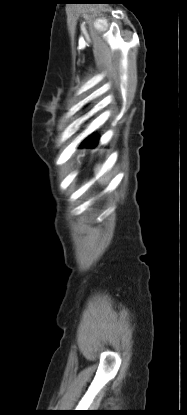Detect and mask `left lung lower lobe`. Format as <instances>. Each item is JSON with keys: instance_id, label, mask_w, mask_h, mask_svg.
I'll return each mask as SVG.
<instances>
[{"instance_id": "left-lung-lower-lobe-1", "label": "left lung lower lobe", "mask_w": 187, "mask_h": 415, "mask_svg": "<svg viewBox=\"0 0 187 415\" xmlns=\"http://www.w3.org/2000/svg\"><path fill=\"white\" fill-rule=\"evenodd\" d=\"M98 141H99L98 136L90 135L81 143L80 147H83V146L84 147H88V146L95 147L97 146Z\"/></svg>"}]
</instances>
